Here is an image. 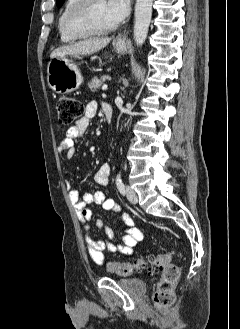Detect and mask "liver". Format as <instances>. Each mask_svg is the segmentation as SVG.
<instances>
[{
  "label": "liver",
  "instance_id": "liver-1",
  "mask_svg": "<svg viewBox=\"0 0 240 329\" xmlns=\"http://www.w3.org/2000/svg\"><path fill=\"white\" fill-rule=\"evenodd\" d=\"M110 41L111 39L109 37L92 38L79 41L77 43L55 49L51 53L50 57L54 58L67 55H90L106 47Z\"/></svg>",
  "mask_w": 240,
  "mask_h": 329
}]
</instances>
